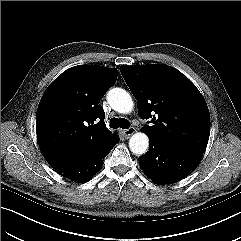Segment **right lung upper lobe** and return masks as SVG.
Instances as JSON below:
<instances>
[{"label": "right lung upper lobe", "instance_id": "right-lung-upper-lobe-1", "mask_svg": "<svg viewBox=\"0 0 241 241\" xmlns=\"http://www.w3.org/2000/svg\"><path fill=\"white\" fill-rule=\"evenodd\" d=\"M117 72L96 65L74 66L45 91L36 113V132L42 154L54 169L78 163L114 139L99 102Z\"/></svg>", "mask_w": 241, "mask_h": 241}]
</instances>
